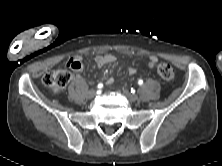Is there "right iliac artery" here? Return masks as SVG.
<instances>
[{
    "label": "right iliac artery",
    "instance_id": "right-iliac-artery-1",
    "mask_svg": "<svg viewBox=\"0 0 222 166\" xmlns=\"http://www.w3.org/2000/svg\"><path fill=\"white\" fill-rule=\"evenodd\" d=\"M98 88H102L103 87V84H98V86H97Z\"/></svg>",
    "mask_w": 222,
    "mask_h": 166
}]
</instances>
